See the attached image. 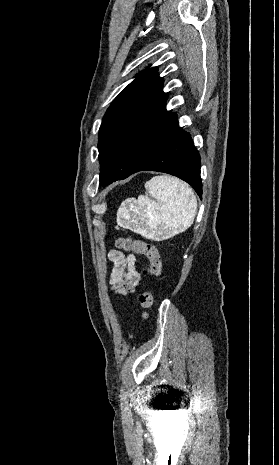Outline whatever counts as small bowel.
I'll return each instance as SVG.
<instances>
[{
  "instance_id": "small-bowel-1",
  "label": "small bowel",
  "mask_w": 279,
  "mask_h": 465,
  "mask_svg": "<svg viewBox=\"0 0 279 465\" xmlns=\"http://www.w3.org/2000/svg\"><path fill=\"white\" fill-rule=\"evenodd\" d=\"M108 259L113 263L109 278L112 291L123 296L133 295L141 281L135 255L113 249L108 252Z\"/></svg>"
}]
</instances>
